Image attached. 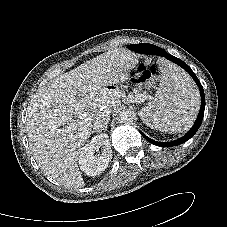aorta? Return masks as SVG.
Returning a JSON list of instances; mask_svg holds the SVG:
<instances>
[{
    "label": "aorta",
    "mask_w": 227,
    "mask_h": 227,
    "mask_svg": "<svg viewBox=\"0 0 227 227\" xmlns=\"http://www.w3.org/2000/svg\"><path fill=\"white\" fill-rule=\"evenodd\" d=\"M135 118L134 111L130 109H123L118 113V119L122 123H131Z\"/></svg>",
    "instance_id": "1"
}]
</instances>
